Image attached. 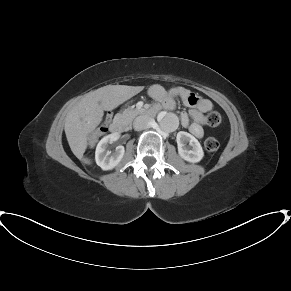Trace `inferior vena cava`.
Here are the masks:
<instances>
[{
	"instance_id": "inferior-vena-cava-1",
	"label": "inferior vena cava",
	"mask_w": 291,
	"mask_h": 291,
	"mask_svg": "<svg viewBox=\"0 0 291 291\" xmlns=\"http://www.w3.org/2000/svg\"><path fill=\"white\" fill-rule=\"evenodd\" d=\"M153 119L146 115L138 116L134 122L133 127L136 131H141L147 129L151 126Z\"/></svg>"
}]
</instances>
